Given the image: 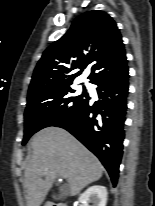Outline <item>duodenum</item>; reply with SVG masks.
Wrapping results in <instances>:
<instances>
[{
  "label": "duodenum",
  "mask_w": 155,
  "mask_h": 206,
  "mask_svg": "<svg viewBox=\"0 0 155 206\" xmlns=\"http://www.w3.org/2000/svg\"><path fill=\"white\" fill-rule=\"evenodd\" d=\"M49 206H67V205L62 202H54V203H51Z\"/></svg>",
  "instance_id": "410a0bca"
}]
</instances>
